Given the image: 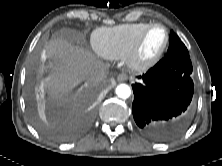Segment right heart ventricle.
Segmentation results:
<instances>
[{"instance_id":"obj_1","label":"right heart ventricle","mask_w":222,"mask_h":166,"mask_svg":"<svg viewBox=\"0 0 222 166\" xmlns=\"http://www.w3.org/2000/svg\"><path fill=\"white\" fill-rule=\"evenodd\" d=\"M149 23L137 22L111 28H99L92 35L96 52L108 59H120L127 55L139 33Z\"/></svg>"}]
</instances>
